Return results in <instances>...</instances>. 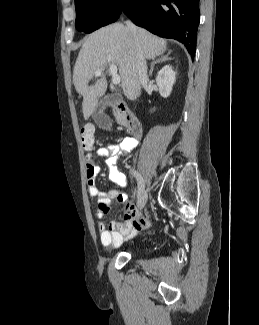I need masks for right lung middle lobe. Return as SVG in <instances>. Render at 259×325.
<instances>
[{
	"mask_svg": "<svg viewBox=\"0 0 259 325\" xmlns=\"http://www.w3.org/2000/svg\"><path fill=\"white\" fill-rule=\"evenodd\" d=\"M127 0H75L76 29L91 33L115 22Z\"/></svg>",
	"mask_w": 259,
	"mask_h": 325,
	"instance_id": "right-lung-middle-lobe-1",
	"label": "right lung middle lobe"
}]
</instances>
